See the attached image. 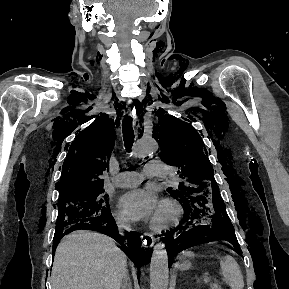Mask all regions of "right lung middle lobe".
Listing matches in <instances>:
<instances>
[{"mask_svg":"<svg viewBox=\"0 0 289 289\" xmlns=\"http://www.w3.org/2000/svg\"><path fill=\"white\" fill-rule=\"evenodd\" d=\"M102 189L74 192L59 197L55 235L60 236L81 219L99 217L110 211Z\"/></svg>","mask_w":289,"mask_h":289,"instance_id":"right-lung-middle-lobe-1","label":"right lung middle lobe"}]
</instances>
